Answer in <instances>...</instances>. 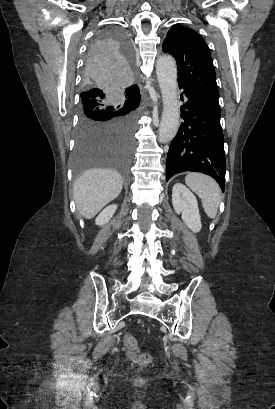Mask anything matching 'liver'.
I'll return each mask as SVG.
<instances>
[{
    "mask_svg": "<svg viewBox=\"0 0 275 409\" xmlns=\"http://www.w3.org/2000/svg\"><path fill=\"white\" fill-rule=\"evenodd\" d=\"M123 180L113 168H90L76 178L73 196L76 207L85 219H93L108 202L120 194Z\"/></svg>",
    "mask_w": 275,
    "mask_h": 409,
    "instance_id": "obj_1",
    "label": "liver"
}]
</instances>
